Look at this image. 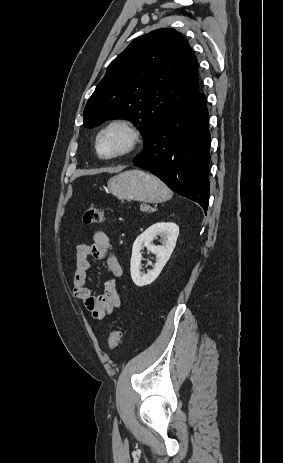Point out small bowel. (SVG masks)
Returning <instances> with one entry per match:
<instances>
[{
    "mask_svg": "<svg viewBox=\"0 0 283 463\" xmlns=\"http://www.w3.org/2000/svg\"><path fill=\"white\" fill-rule=\"evenodd\" d=\"M88 257L104 260L110 272V279L104 285V292L94 294L87 285L91 265ZM123 276V268L112 252L109 236L103 230L93 233V241L76 246V267L73 280V294L80 299L91 316L101 320L121 307L122 301L117 290V279Z\"/></svg>",
    "mask_w": 283,
    "mask_h": 463,
    "instance_id": "c3829d8e",
    "label": "small bowel"
}]
</instances>
